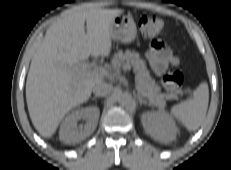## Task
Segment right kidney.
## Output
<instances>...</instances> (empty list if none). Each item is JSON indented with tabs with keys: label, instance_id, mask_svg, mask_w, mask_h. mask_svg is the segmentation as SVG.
<instances>
[{
	"label": "right kidney",
	"instance_id": "right-kidney-1",
	"mask_svg": "<svg viewBox=\"0 0 231 170\" xmlns=\"http://www.w3.org/2000/svg\"><path fill=\"white\" fill-rule=\"evenodd\" d=\"M99 115L100 111L96 106L73 111L66 116L60 126V140L66 144H75L84 140L94 132L98 123ZM80 119L86 120V124L77 128V122Z\"/></svg>",
	"mask_w": 231,
	"mask_h": 170
}]
</instances>
